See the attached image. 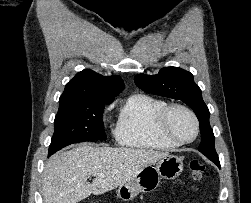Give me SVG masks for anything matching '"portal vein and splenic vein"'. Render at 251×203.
Listing matches in <instances>:
<instances>
[{
	"mask_svg": "<svg viewBox=\"0 0 251 203\" xmlns=\"http://www.w3.org/2000/svg\"><path fill=\"white\" fill-rule=\"evenodd\" d=\"M99 176H100V177H104V175H103V174H99Z\"/></svg>",
	"mask_w": 251,
	"mask_h": 203,
	"instance_id": "18ae733b",
	"label": "portal vein and splenic vein"
}]
</instances>
